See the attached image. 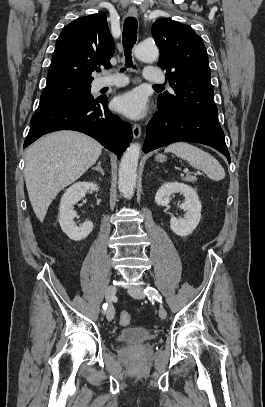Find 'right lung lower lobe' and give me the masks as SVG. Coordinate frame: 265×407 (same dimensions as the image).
Listing matches in <instances>:
<instances>
[{"mask_svg":"<svg viewBox=\"0 0 265 407\" xmlns=\"http://www.w3.org/2000/svg\"><path fill=\"white\" fill-rule=\"evenodd\" d=\"M57 130L88 134L119 158L132 140L130 124L109 111L106 97L36 112L32 116L24 148L42 135Z\"/></svg>","mask_w":265,"mask_h":407,"instance_id":"1","label":"right lung lower lobe"}]
</instances>
